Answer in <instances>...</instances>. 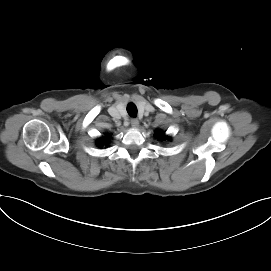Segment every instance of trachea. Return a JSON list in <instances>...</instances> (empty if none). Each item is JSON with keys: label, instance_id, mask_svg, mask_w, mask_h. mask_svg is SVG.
Segmentation results:
<instances>
[{"label": "trachea", "instance_id": "1", "mask_svg": "<svg viewBox=\"0 0 271 271\" xmlns=\"http://www.w3.org/2000/svg\"><path fill=\"white\" fill-rule=\"evenodd\" d=\"M127 112L131 117H136L137 115V107L133 103H129L127 106Z\"/></svg>", "mask_w": 271, "mask_h": 271}]
</instances>
